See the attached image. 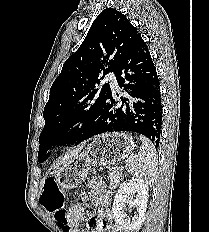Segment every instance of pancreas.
<instances>
[{
    "mask_svg": "<svg viewBox=\"0 0 209 232\" xmlns=\"http://www.w3.org/2000/svg\"><path fill=\"white\" fill-rule=\"evenodd\" d=\"M122 177V170L119 167H114L110 170L108 175V182L110 184V189H116L119 181Z\"/></svg>",
    "mask_w": 209,
    "mask_h": 232,
    "instance_id": "cf45deb5",
    "label": "pancreas"
}]
</instances>
